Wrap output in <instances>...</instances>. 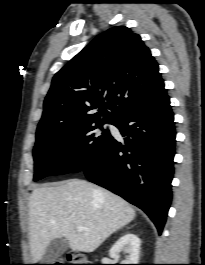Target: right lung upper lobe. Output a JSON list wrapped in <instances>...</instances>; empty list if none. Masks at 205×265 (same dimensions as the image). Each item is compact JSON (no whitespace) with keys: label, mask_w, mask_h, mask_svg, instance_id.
<instances>
[{"label":"right lung upper lobe","mask_w":205,"mask_h":265,"mask_svg":"<svg viewBox=\"0 0 205 265\" xmlns=\"http://www.w3.org/2000/svg\"><path fill=\"white\" fill-rule=\"evenodd\" d=\"M163 90L158 64L140 36L125 26L113 27L55 74L37 131L115 122Z\"/></svg>","instance_id":"1"}]
</instances>
